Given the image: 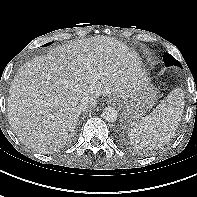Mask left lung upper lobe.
Instances as JSON below:
<instances>
[{"instance_id": "left-lung-upper-lobe-1", "label": "left lung upper lobe", "mask_w": 197, "mask_h": 197, "mask_svg": "<svg viewBox=\"0 0 197 197\" xmlns=\"http://www.w3.org/2000/svg\"><path fill=\"white\" fill-rule=\"evenodd\" d=\"M163 60L166 66L178 65L181 67L180 63L168 53L164 54Z\"/></svg>"}]
</instances>
